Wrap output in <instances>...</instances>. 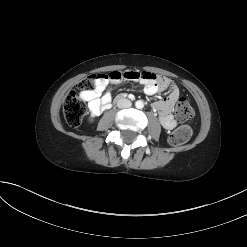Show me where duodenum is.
<instances>
[{
    "instance_id": "duodenum-1",
    "label": "duodenum",
    "mask_w": 247,
    "mask_h": 247,
    "mask_svg": "<svg viewBox=\"0 0 247 247\" xmlns=\"http://www.w3.org/2000/svg\"><path fill=\"white\" fill-rule=\"evenodd\" d=\"M123 97H126V94L125 93L117 94V97L114 98L113 103H116L117 100H118V98H123Z\"/></svg>"
}]
</instances>
